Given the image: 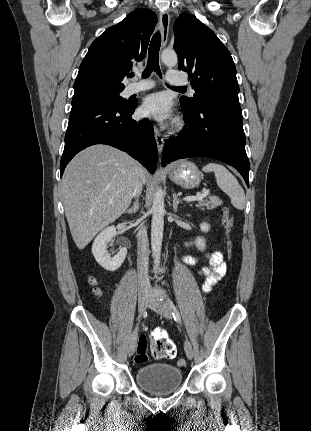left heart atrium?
<instances>
[{
	"label": "left heart atrium",
	"instance_id": "left-heart-atrium-1",
	"mask_svg": "<svg viewBox=\"0 0 311 431\" xmlns=\"http://www.w3.org/2000/svg\"><path fill=\"white\" fill-rule=\"evenodd\" d=\"M139 113L142 117L158 122L168 120L173 113L170 96L165 92H156L145 96Z\"/></svg>",
	"mask_w": 311,
	"mask_h": 431
}]
</instances>
